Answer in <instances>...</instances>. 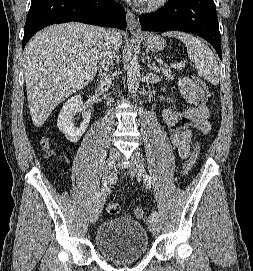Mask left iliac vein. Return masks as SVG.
I'll list each match as a JSON object with an SVG mask.
<instances>
[{
    "label": "left iliac vein",
    "instance_id": "1",
    "mask_svg": "<svg viewBox=\"0 0 253 271\" xmlns=\"http://www.w3.org/2000/svg\"><path fill=\"white\" fill-rule=\"evenodd\" d=\"M141 156L137 153H134L133 162L128 166V171L132 177L140 178L141 172L140 167L142 166ZM148 226L153 235H158L160 232V226L158 220L150 216L148 218Z\"/></svg>",
    "mask_w": 253,
    "mask_h": 271
}]
</instances>
